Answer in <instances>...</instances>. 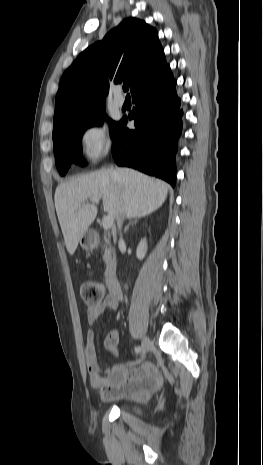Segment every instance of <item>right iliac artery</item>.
I'll return each instance as SVG.
<instances>
[{
    "label": "right iliac artery",
    "mask_w": 263,
    "mask_h": 465,
    "mask_svg": "<svg viewBox=\"0 0 263 465\" xmlns=\"http://www.w3.org/2000/svg\"><path fill=\"white\" fill-rule=\"evenodd\" d=\"M140 351H141V347H140V346H138V347L135 348V353H139Z\"/></svg>",
    "instance_id": "obj_1"
}]
</instances>
